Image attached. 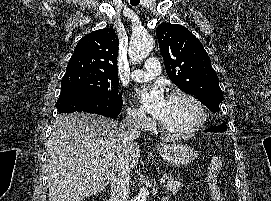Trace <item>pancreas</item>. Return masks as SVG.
<instances>
[{
	"instance_id": "pancreas-1",
	"label": "pancreas",
	"mask_w": 271,
	"mask_h": 201,
	"mask_svg": "<svg viewBox=\"0 0 271 201\" xmlns=\"http://www.w3.org/2000/svg\"><path fill=\"white\" fill-rule=\"evenodd\" d=\"M184 185L182 182L174 179L173 177H167V183L165 184V187L167 190L176 193L180 188H182Z\"/></svg>"
}]
</instances>
